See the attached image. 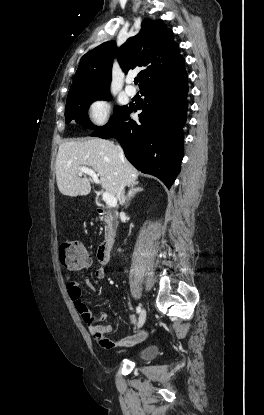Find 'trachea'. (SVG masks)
<instances>
[{
	"label": "trachea",
	"mask_w": 264,
	"mask_h": 415,
	"mask_svg": "<svg viewBox=\"0 0 264 415\" xmlns=\"http://www.w3.org/2000/svg\"><path fill=\"white\" fill-rule=\"evenodd\" d=\"M138 82H139V79L138 78H135L134 83L135 84H138Z\"/></svg>",
	"instance_id": "3493384b"
}]
</instances>
